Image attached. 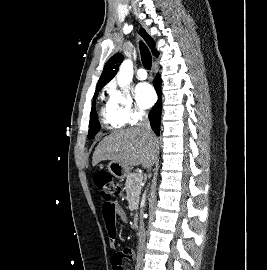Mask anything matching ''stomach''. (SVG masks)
<instances>
[{"label": "stomach", "instance_id": "stomach-1", "mask_svg": "<svg viewBox=\"0 0 267 270\" xmlns=\"http://www.w3.org/2000/svg\"><path fill=\"white\" fill-rule=\"evenodd\" d=\"M107 168L109 172L117 179H124L130 173L129 167L124 166L121 163L111 161Z\"/></svg>", "mask_w": 267, "mask_h": 270}]
</instances>
